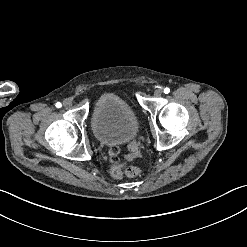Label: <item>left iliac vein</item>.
Segmentation results:
<instances>
[{"mask_svg":"<svg viewBox=\"0 0 247 247\" xmlns=\"http://www.w3.org/2000/svg\"><path fill=\"white\" fill-rule=\"evenodd\" d=\"M162 92H163L162 89H156L155 92H154V95L156 97H160L162 95Z\"/></svg>","mask_w":247,"mask_h":247,"instance_id":"obj_1","label":"left iliac vein"}]
</instances>
